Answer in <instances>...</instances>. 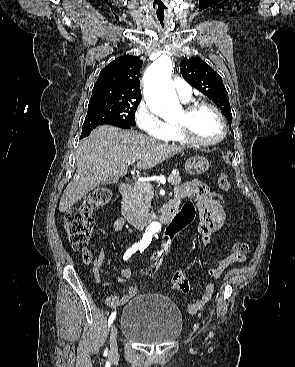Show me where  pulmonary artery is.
<instances>
[{"instance_id":"pulmonary-artery-1","label":"pulmonary artery","mask_w":295,"mask_h":367,"mask_svg":"<svg viewBox=\"0 0 295 367\" xmlns=\"http://www.w3.org/2000/svg\"><path fill=\"white\" fill-rule=\"evenodd\" d=\"M174 87L182 101L187 102L191 99L192 89L190 85L182 78L177 77L174 79Z\"/></svg>"}]
</instances>
